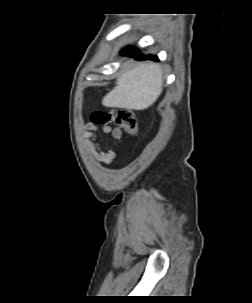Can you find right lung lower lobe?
Segmentation results:
<instances>
[{
	"label": "right lung lower lobe",
	"instance_id": "98d812e1",
	"mask_svg": "<svg viewBox=\"0 0 252 303\" xmlns=\"http://www.w3.org/2000/svg\"><path fill=\"white\" fill-rule=\"evenodd\" d=\"M122 54H123V55L132 56V57H134V58L137 59V60H146V59H150V60L158 61L157 56H153V55H143V54L138 53L137 50H133V49H131V48L124 49L123 52H122Z\"/></svg>",
	"mask_w": 252,
	"mask_h": 303
}]
</instances>
